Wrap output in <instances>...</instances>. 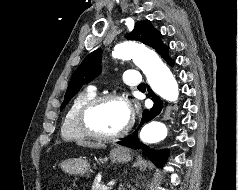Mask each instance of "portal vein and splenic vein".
Listing matches in <instances>:
<instances>
[{"label":"portal vein and splenic vein","instance_id":"18ae733b","mask_svg":"<svg viewBox=\"0 0 238 190\" xmlns=\"http://www.w3.org/2000/svg\"><path fill=\"white\" fill-rule=\"evenodd\" d=\"M115 184V182H109L108 184H107V186L108 187H111V186H113Z\"/></svg>","mask_w":238,"mask_h":190}]
</instances>
